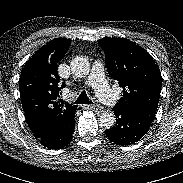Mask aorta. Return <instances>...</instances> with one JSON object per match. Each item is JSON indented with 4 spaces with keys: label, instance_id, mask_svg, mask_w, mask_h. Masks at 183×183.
Segmentation results:
<instances>
[{
    "label": "aorta",
    "instance_id": "762f6f07",
    "mask_svg": "<svg viewBox=\"0 0 183 183\" xmlns=\"http://www.w3.org/2000/svg\"><path fill=\"white\" fill-rule=\"evenodd\" d=\"M72 73L78 77H86L90 72V63L89 61L82 56H77L72 59L70 63ZM116 122V117L112 112H103L99 117L100 126L109 129L114 126Z\"/></svg>",
    "mask_w": 183,
    "mask_h": 183
}]
</instances>
